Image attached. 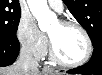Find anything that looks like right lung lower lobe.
Segmentation results:
<instances>
[{
  "label": "right lung lower lobe",
  "instance_id": "1",
  "mask_svg": "<svg viewBox=\"0 0 102 75\" xmlns=\"http://www.w3.org/2000/svg\"><path fill=\"white\" fill-rule=\"evenodd\" d=\"M19 50L18 39L0 38V66L11 65L16 60Z\"/></svg>",
  "mask_w": 102,
  "mask_h": 75
}]
</instances>
